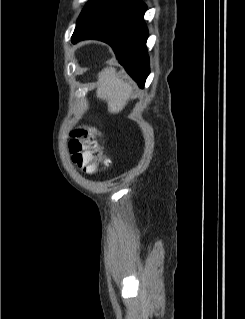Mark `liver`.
<instances>
[{
    "label": "liver",
    "mask_w": 245,
    "mask_h": 319,
    "mask_svg": "<svg viewBox=\"0 0 245 319\" xmlns=\"http://www.w3.org/2000/svg\"><path fill=\"white\" fill-rule=\"evenodd\" d=\"M132 86L119 78L114 67L104 68L98 74L97 98L107 102L110 113H119L126 106Z\"/></svg>",
    "instance_id": "1"
}]
</instances>
